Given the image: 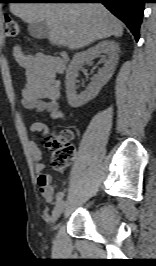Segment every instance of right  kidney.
<instances>
[{
    "label": "right kidney",
    "mask_w": 156,
    "mask_h": 266,
    "mask_svg": "<svg viewBox=\"0 0 156 266\" xmlns=\"http://www.w3.org/2000/svg\"><path fill=\"white\" fill-rule=\"evenodd\" d=\"M119 45L113 40H104L90 47L86 51L76 53L66 71V95L68 104L77 108L94 99L101 88L112 77L118 63ZM104 54V66L94 75L86 90L80 94L76 91V78L82 66L95 57Z\"/></svg>",
    "instance_id": "right-kidney-1"
}]
</instances>
